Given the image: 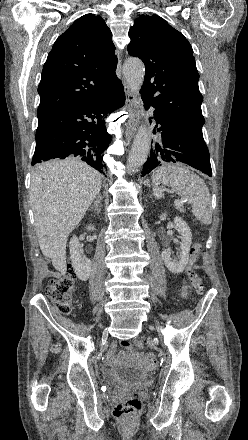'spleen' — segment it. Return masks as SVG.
Instances as JSON below:
<instances>
[{"mask_svg": "<svg viewBox=\"0 0 248 440\" xmlns=\"http://www.w3.org/2000/svg\"><path fill=\"white\" fill-rule=\"evenodd\" d=\"M153 194L164 197L160 184L171 187L178 195L186 198L192 205V213L204 225L212 222L211 196L203 179L181 165H166L152 175Z\"/></svg>", "mask_w": 248, "mask_h": 440, "instance_id": "obj_1", "label": "spleen"}]
</instances>
